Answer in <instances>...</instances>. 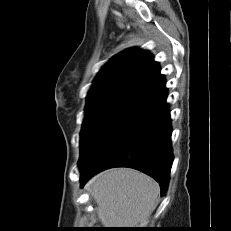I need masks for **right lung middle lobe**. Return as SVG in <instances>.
<instances>
[{"label": "right lung middle lobe", "mask_w": 231, "mask_h": 231, "mask_svg": "<svg viewBox=\"0 0 231 231\" xmlns=\"http://www.w3.org/2000/svg\"><path fill=\"white\" fill-rule=\"evenodd\" d=\"M148 105L139 98L125 95L99 98L87 105L80 133L79 168L118 128Z\"/></svg>", "instance_id": "dd1d6c3e"}]
</instances>
